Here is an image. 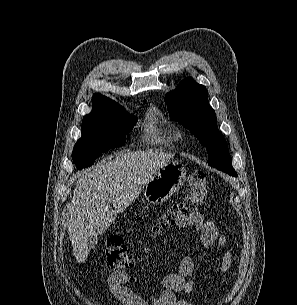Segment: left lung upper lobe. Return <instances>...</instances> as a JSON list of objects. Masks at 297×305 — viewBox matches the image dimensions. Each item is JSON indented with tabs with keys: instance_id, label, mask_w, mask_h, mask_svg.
Instances as JSON below:
<instances>
[{
	"instance_id": "1",
	"label": "left lung upper lobe",
	"mask_w": 297,
	"mask_h": 305,
	"mask_svg": "<svg viewBox=\"0 0 297 305\" xmlns=\"http://www.w3.org/2000/svg\"><path fill=\"white\" fill-rule=\"evenodd\" d=\"M171 120L179 122L197 136L208 152V164L229 175L237 176L231 166L227 142L217 128L215 111L208 104L205 86L188 78L166 94Z\"/></svg>"
}]
</instances>
